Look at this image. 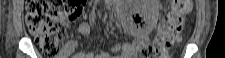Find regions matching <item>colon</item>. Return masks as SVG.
<instances>
[{
    "label": "colon",
    "mask_w": 225,
    "mask_h": 58,
    "mask_svg": "<svg viewBox=\"0 0 225 58\" xmlns=\"http://www.w3.org/2000/svg\"><path fill=\"white\" fill-rule=\"evenodd\" d=\"M83 1L28 0L26 25L48 57L57 56L65 42L63 18L74 20L83 13ZM190 0H173L166 23L152 44H142L136 49V57L150 58L161 53L168 55L172 46L181 40L184 19L191 12Z\"/></svg>",
    "instance_id": "obj_1"
}]
</instances>
